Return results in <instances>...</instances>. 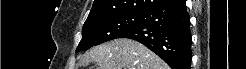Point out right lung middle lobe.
I'll return each instance as SVG.
<instances>
[{"mask_svg":"<svg viewBox=\"0 0 246 69\" xmlns=\"http://www.w3.org/2000/svg\"><path fill=\"white\" fill-rule=\"evenodd\" d=\"M141 19L142 14H120L86 21L76 52L119 38L124 32L137 26Z\"/></svg>","mask_w":246,"mask_h":69,"instance_id":"1","label":"right lung middle lobe"}]
</instances>
